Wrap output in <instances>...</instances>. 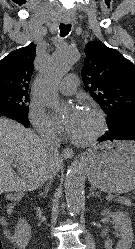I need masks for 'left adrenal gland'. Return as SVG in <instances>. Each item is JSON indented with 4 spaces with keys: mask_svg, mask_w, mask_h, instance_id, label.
Wrapping results in <instances>:
<instances>
[{
    "mask_svg": "<svg viewBox=\"0 0 135 249\" xmlns=\"http://www.w3.org/2000/svg\"><path fill=\"white\" fill-rule=\"evenodd\" d=\"M92 196H97L96 194H94L93 189H90V194L88 195V198L92 197Z\"/></svg>",
    "mask_w": 135,
    "mask_h": 249,
    "instance_id": "obj_1",
    "label": "left adrenal gland"
}]
</instances>
